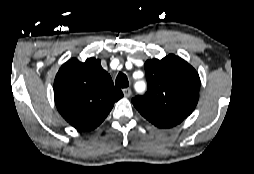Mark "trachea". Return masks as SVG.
<instances>
[{"label":"trachea","instance_id":"3493384b","mask_svg":"<svg viewBox=\"0 0 254 174\" xmlns=\"http://www.w3.org/2000/svg\"><path fill=\"white\" fill-rule=\"evenodd\" d=\"M115 85L121 88H126L129 86L128 78L125 74L119 73L116 77Z\"/></svg>","mask_w":254,"mask_h":174}]
</instances>
